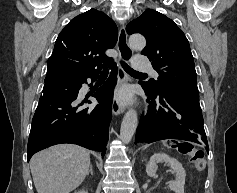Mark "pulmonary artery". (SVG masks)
I'll return each instance as SVG.
<instances>
[{
  "instance_id": "pulmonary-artery-1",
  "label": "pulmonary artery",
  "mask_w": 237,
  "mask_h": 193,
  "mask_svg": "<svg viewBox=\"0 0 237 193\" xmlns=\"http://www.w3.org/2000/svg\"><path fill=\"white\" fill-rule=\"evenodd\" d=\"M132 64L135 70L140 72H150L157 76L156 71L153 69L147 58L144 56H136L132 59Z\"/></svg>"
}]
</instances>
